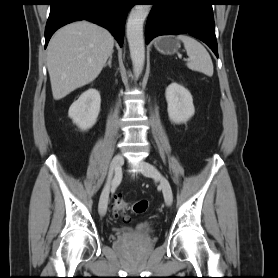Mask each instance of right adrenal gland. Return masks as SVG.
<instances>
[{"label":"right adrenal gland","mask_w":278,"mask_h":278,"mask_svg":"<svg viewBox=\"0 0 278 278\" xmlns=\"http://www.w3.org/2000/svg\"><path fill=\"white\" fill-rule=\"evenodd\" d=\"M111 63H112V54L109 56L108 62L104 65V67L109 66L111 68L112 67Z\"/></svg>","instance_id":"right-adrenal-gland-1"}]
</instances>
